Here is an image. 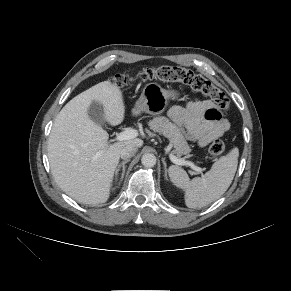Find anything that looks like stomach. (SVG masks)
Instances as JSON below:
<instances>
[{"instance_id":"obj_1","label":"stomach","mask_w":291,"mask_h":291,"mask_svg":"<svg viewBox=\"0 0 291 291\" xmlns=\"http://www.w3.org/2000/svg\"><path fill=\"white\" fill-rule=\"evenodd\" d=\"M179 97L180 93L176 90H166L157 83H148L143 88L133 113L146 112L151 115H159L166 109L169 100H177Z\"/></svg>"}]
</instances>
